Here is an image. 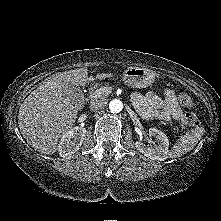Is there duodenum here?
<instances>
[{
  "label": "duodenum",
  "mask_w": 221,
  "mask_h": 221,
  "mask_svg": "<svg viewBox=\"0 0 221 221\" xmlns=\"http://www.w3.org/2000/svg\"><path fill=\"white\" fill-rule=\"evenodd\" d=\"M92 84H93V81H92V80H90V81L87 82V86H88V87L91 86Z\"/></svg>",
  "instance_id": "obj_1"
}]
</instances>
